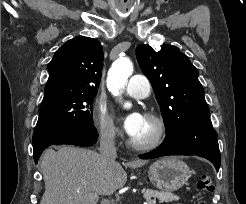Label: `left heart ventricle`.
<instances>
[{
	"label": "left heart ventricle",
	"mask_w": 246,
	"mask_h": 204,
	"mask_svg": "<svg viewBox=\"0 0 246 204\" xmlns=\"http://www.w3.org/2000/svg\"><path fill=\"white\" fill-rule=\"evenodd\" d=\"M155 131V124L151 120L144 117L139 129L134 135L131 136V138L138 142H146L152 139Z\"/></svg>",
	"instance_id": "left-heart-ventricle-1"
}]
</instances>
